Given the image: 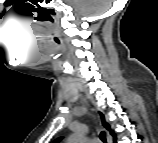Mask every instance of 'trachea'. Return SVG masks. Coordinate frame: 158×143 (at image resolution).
I'll return each instance as SVG.
<instances>
[{"instance_id": "1", "label": "trachea", "mask_w": 158, "mask_h": 143, "mask_svg": "<svg viewBox=\"0 0 158 143\" xmlns=\"http://www.w3.org/2000/svg\"><path fill=\"white\" fill-rule=\"evenodd\" d=\"M100 139H101L103 142H106L105 133H104L103 131L100 133Z\"/></svg>"}]
</instances>
